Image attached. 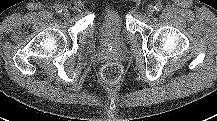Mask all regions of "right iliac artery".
I'll return each instance as SVG.
<instances>
[{"mask_svg": "<svg viewBox=\"0 0 217 121\" xmlns=\"http://www.w3.org/2000/svg\"><path fill=\"white\" fill-rule=\"evenodd\" d=\"M55 11L57 13H61L63 11V7L61 5H57V6H55Z\"/></svg>", "mask_w": 217, "mask_h": 121, "instance_id": "1", "label": "right iliac artery"}]
</instances>
